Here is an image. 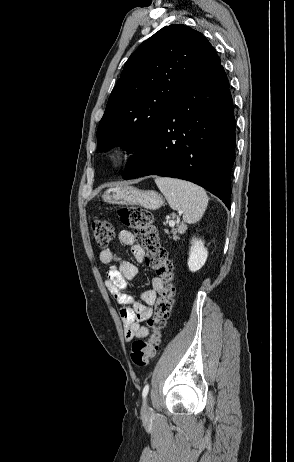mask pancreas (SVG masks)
<instances>
[{
    "mask_svg": "<svg viewBox=\"0 0 294 462\" xmlns=\"http://www.w3.org/2000/svg\"><path fill=\"white\" fill-rule=\"evenodd\" d=\"M187 229V226L185 224H181L178 226V228L172 230V233H173V239L174 240H178L179 237L177 234H183Z\"/></svg>",
    "mask_w": 294,
    "mask_h": 462,
    "instance_id": "pancreas-1",
    "label": "pancreas"
}]
</instances>
